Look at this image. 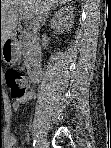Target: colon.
I'll return each instance as SVG.
<instances>
[{
	"instance_id": "obj_1",
	"label": "colon",
	"mask_w": 111,
	"mask_h": 148,
	"mask_svg": "<svg viewBox=\"0 0 111 148\" xmlns=\"http://www.w3.org/2000/svg\"><path fill=\"white\" fill-rule=\"evenodd\" d=\"M19 77L18 73L16 72H10L8 74V79H9V82L10 84L12 85L13 87V94L17 97H21L24 95V90L19 88L18 86L15 85V80Z\"/></svg>"
}]
</instances>
